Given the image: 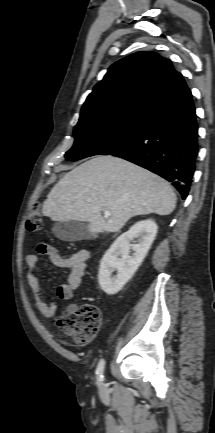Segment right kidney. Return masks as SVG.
<instances>
[{"mask_svg": "<svg viewBox=\"0 0 215 433\" xmlns=\"http://www.w3.org/2000/svg\"><path fill=\"white\" fill-rule=\"evenodd\" d=\"M157 233L151 219L141 220L120 235L104 254L99 268L98 282L108 295L119 292L130 280L147 255ZM137 238V244L130 242ZM134 253L130 256V250ZM117 271L116 276H111Z\"/></svg>", "mask_w": 215, "mask_h": 433, "instance_id": "obj_1", "label": "right kidney"}]
</instances>
